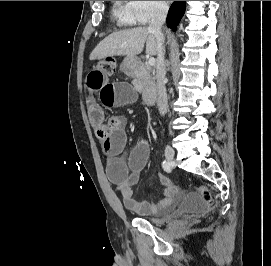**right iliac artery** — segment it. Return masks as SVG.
<instances>
[{
	"instance_id": "right-iliac-artery-1",
	"label": "right iliac artery",
	"mask_w": 271,
	"mask_h": 266,
	"mask_svg": "<svg viewBox=\"0 0 271 266\" xmlns=\"http://www.w3.org/2000/svg\"><path fill=\"white\" fill-rule=\"evenodd\" d=\"M162 167H163V169H164L166 172H168V173H170L171 170H172V167H171L170 162H169V161H166V160H164V161L162 162Z\"/></svg>"
}]
</instances>
